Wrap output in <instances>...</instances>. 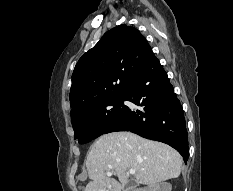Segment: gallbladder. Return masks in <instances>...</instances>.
<instances>
[{
  "instance_id": "obj_1",
  "label": "gallbladder",
  "mask_w": 233,
  "mask_h": 191,
  "mask_svg": "<svg viewBox=\"0 0 233 191\" xmlns=\"http://www.w3.org/2000/svg\"><path fill=\"white\" fill-rule=\"evenodd\" d=\"M133 186H135V181L134 180H129L128 184H127V187L132 188Z\"/></svg>"
}]
</instances>
